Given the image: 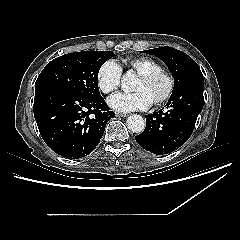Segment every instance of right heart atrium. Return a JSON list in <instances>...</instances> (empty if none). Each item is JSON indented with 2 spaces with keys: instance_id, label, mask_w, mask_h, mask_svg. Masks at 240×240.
Wrapping results in <instances>:
<instances>
[{
  "instance_id": "right-heart-atrium-1",
  "label": "right heart atrium",
  "mask_w": 240,
  "mask_h": 240,
  "mask_svg": "<svg viewBox=\"0 0 240 240\" xmlns=\"http://www.w3.org/2000/svg\"><path fill=\"white\" fill-rule=\"evenodd\" d=\"M121 70L116 62L108 60L104 62L96 73V82L99 90L108 94L116 90L120 84Z\"/></svg>"
}]
</instances>
